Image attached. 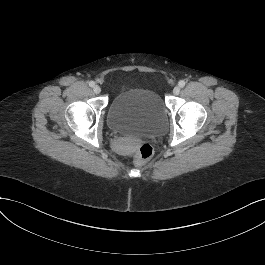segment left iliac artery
I'll return each instance as SVG.
<instances>
[{"mask_svg":"<svg viewBox=\"0 0 265 265\" xmlns=\"http://www.w3.org/2000/svg\"><path fill=\"white\" fill-rule=\"evenodd\" d=\"M178 85L180 87H184L185 86V81L184 80H180L179 83H178Z\"/></svg>","mask_w":265,"mask_h":265,"instance_id":"obj_1","label":"left iliac artery"}]
</instances>
